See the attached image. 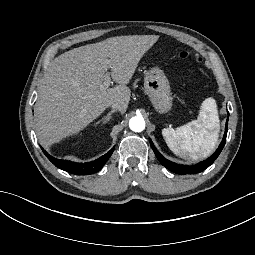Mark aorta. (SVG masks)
<instances>
[{
  "instance_id": "1",
  "label": "aorta",
  "mask_w": 255,
  "mask_h": 255,
  "mask_svg": "<svg viewBox=\"0 0 255 255\" xmlns=\"http://www.w3.org/2000/svg\"><path fill=\"white\" fill-rule=\"evenodd\" d=\"M129 127L132 131L141 132L145 129V120L141 116L132 117L129 121Z\"/></svg>"
}]
</instances>
